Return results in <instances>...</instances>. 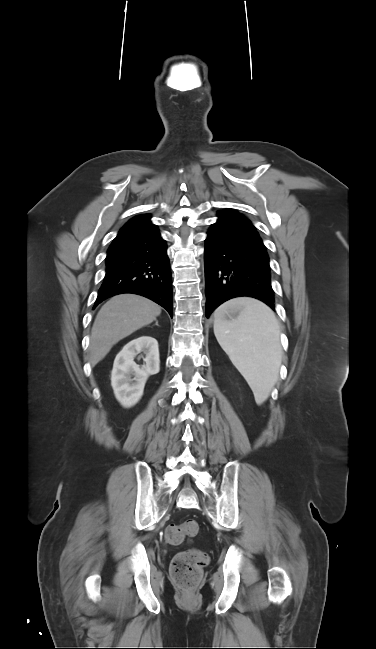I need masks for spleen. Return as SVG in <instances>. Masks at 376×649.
<instances>
[{
    "mask_svg": "<svg viewBox=\"0 0 376 649\" xmlns=\"http://www.w3.org/2000/svg\"><path fill=\"white\" fill-rule=\"evenodd\" d=\"M238 308L236 318L225 319L229 310ZM214 334L231 362L262 404L277 381L281 365L279 323L263 302L240 297L221 305L214 313Z\"/></svg>",
    "mask_w": 376,
    "mask_h": 649,
    "instance_id": "3e777b00",
    "label": "spleen"
}]
</instances>
